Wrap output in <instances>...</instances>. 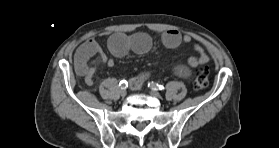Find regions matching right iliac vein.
Instances as JSON below:
<instances>
[{"label": "right iliac vein", "instance_id": "right-iliac-vein-1", "mask_svg": "<svg viewBox=\"0 0 279 148\" xmlns=\"http://www.w3.org/2000/svg\"><path fill=\"white\" fill-rule=\"evenodd\" d=\"M126 94H127V91H126L125 89H121V90H120V95H121L122 97H125Z\"/></svg>", "mask_w": 279, "mask_h": 148}]
</instances>
